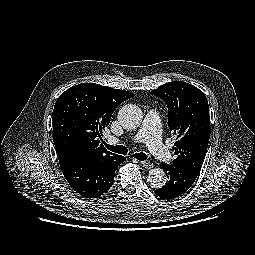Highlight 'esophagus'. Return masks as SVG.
Wrapping results in <instances>:
<instances>
[{
	"instance_id": "esophagus-1",
	"label": "esophagus",
	"mask_w": 255,
	"mask_h": 255,
	"mask_svg": "<svg viewBox=\"0 0 255 255\" xmlns=\"http://www.w3.org/2000/svg\"><path fill=\"white\" fill-rule=\"evenodd\" d=\"M141 165L144 167V168H147V169H151L153 167V163L151 161H142L141 162Z\"/></svg>"
}]
</instances>
